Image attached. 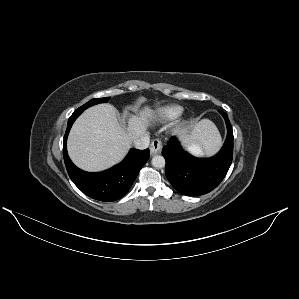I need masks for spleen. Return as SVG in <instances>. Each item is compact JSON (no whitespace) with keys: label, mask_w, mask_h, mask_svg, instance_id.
Segmentation results:
<instances>
[{"label":"spleen","mask_w":299,"mask_h":299,"mask_svg":"<svg viewBox=\"0 0 299 299\" xmlns=\"http://www.w3.org/2000/svg\"><path fill=\"white\" fill-rule=\"evenodd\" d=\"M206 123H208V125L215 127L213 123H211L210 121H205ZM196 153L200 154L202 151L200 148H197L196 150H194Z\"/></svg>","instance_id":"3e777b00"}]
</instances>
